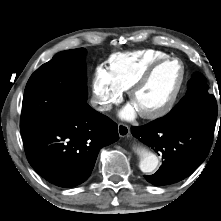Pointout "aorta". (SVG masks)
Wrapping results in <instances>:
<instances>
[{"mask_svg": "<svg viewBox=\"0 0 221 221\" xmlns=\"http://www.w3.org/2000/svg\"><path fill=\"white\" fill-rule=\"evenodd\" d=\"M135 151L140 157L139 168L142 172L150 173L156 169L158 158L154 153L139 147L135 148Z\"/></svg>", "mask_w": 221, "mask_h": 221, "instance_id": "obj_1", "label": "aorta"}]
</instances>
